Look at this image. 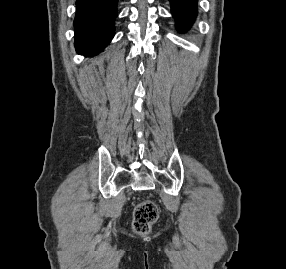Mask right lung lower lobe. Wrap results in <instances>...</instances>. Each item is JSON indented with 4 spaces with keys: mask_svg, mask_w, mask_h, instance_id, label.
<instances>
[{
    "mask_svg": "<svg viewBox=\"0 0 286 269\" xmlns=\"http://www.w3.org/2000/svg\"><path fill=\"white\" fill-rule=\"evenodd\" d=\"M118 0H77L75 48L79 54L95 55L114 36Z\"/></svg>",
    "mask_w": 286,
    "mask_h": 269,
    "instance_id": "98d812e1",
    "label": "right lung lower lobe"
}]
</instances>
